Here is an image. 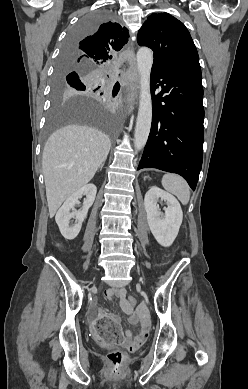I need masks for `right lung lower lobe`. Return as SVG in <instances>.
I'll return each instance as SVG.
<instances>
[{
	"label": "right lung lower lobe",
	"instance_id": "98d812e1",
	"mask_svg": "<svg viewBox=\"0 0 248 389\" xmlns=\"http://www.w3.org/2000/svg\"><path fill=\"white\" fill-rule=\"evenodd\" d=\"M78 76V74L77 73H72V77L74 78V77H77ZM119 88H120V85H119V83H116L115 84V86H114V90H115V92H118L119 91Z\"/></svg>",
	"mask_w": 248,
	"mask_h": 389
}]
</instances>
